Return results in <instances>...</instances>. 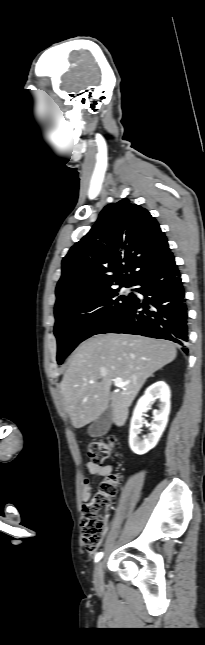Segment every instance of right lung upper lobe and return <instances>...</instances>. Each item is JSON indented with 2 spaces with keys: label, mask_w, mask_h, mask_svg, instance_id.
<instances>
[{
  "label": "right lung upper lobe",
  "mask_w": 205,
  "mask_h": 645,
  "mask_svg": "<svg viewBox=\"0 0 205 645\" xmlns=\"http://www.w3.org/2000/svg\"><path fill=\"white\" fill-rule=\"evenodd\" d=\"M172 257L165 234L146 209L128 199L109 204L63 258L55 314L81 297L132 285Z\"/></svg>",
  "instance_id": "right-lung-upper-lobe-1"
}]
</instances>
